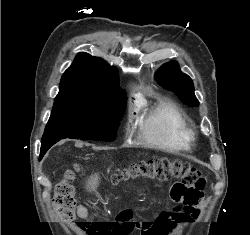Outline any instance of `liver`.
I'll list each match as a JSON object with an SVG mask.
<instances>
[{"label": "liver", "mask_w": 250, "mask_h": 235, "mask_svg": "<svg viewBox=\"0 0 250 235\" xmlns=\"http://www.w3.org/2000/svg\"><path fill=\"white\" fill-rule=\"evenodd\" d=\"M98 180H99L98 176H91L88 180V183H87V187H86L87 190H89V191L95 190L98 186V183H99Z\"/></svg>", "instance_id": "1"}]
</instances>
